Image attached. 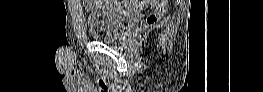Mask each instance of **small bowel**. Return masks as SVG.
<instances>
[{"mask_svg":"<svg viewBox=\"0 0 263 92\" xmlns=\"http://www.w3.org/2000/svg\"><path fill=\"white\" fill-rule=\"evenodd\" d=\"M98 1H94V0H91V1H85V5L87 8H92L94 7L95 4H97ZM149 5H153V3H148Z\"/></svg>","mask_w":263,"mask_h":92,"instance_id":"c3829d8e","label":"small bowel"}]
</instances>
